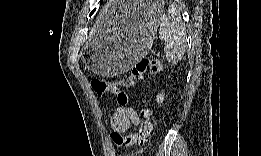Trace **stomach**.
Instances as JSON below:
<instances>
[{"label": "stomach", "instance_id": "0dacf381", "mask_svg": "<svg viewBox=\"0 0 261 156\" xmlns=\"http://www.w3.org/2000/svg\"><path fill=\"white\" fill-rule=\"evenodd\" d=\"M162 14L155 5H141L139 11L123 25L99 32L88 50L91 70L99 75L125 72L144 58L151 48Z\"/></svg>", "mask_w": 261, "mask_h": 156}]
</instances>
